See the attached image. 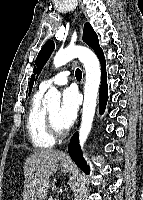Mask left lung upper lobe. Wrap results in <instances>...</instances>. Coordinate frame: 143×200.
Segmentation results:
<instances>
[{
	"label": "left lung upper lobe",
	"instance_id": "5c2ea615",
	"mask_svg": "<svg viewBox=\"0 0 143 200\" xmlns=\"http://www.w3.org/2000/svg\"><path fill=\"white\" fill-rule=\"evenodd\" d=\"M83 40L95 51L100 48L97 34L94 32L93 28L89 23H86L84 25ZM53 50H54L53 41H48L44 44L35 61L34 68L35 71L37 70V74L40 73V71L42 70L47 60L49 59Z\"/></svg>",
	"mask_w": 143,
	"mask_h": 200
}]
</instances>
